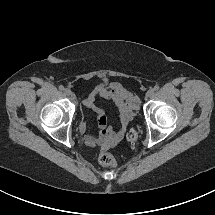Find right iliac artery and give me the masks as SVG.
Returning <instances> with one entry per match:
<instances>
[{"label": "right iliac artery", "instance_id": "82829eb1", "mask_svg": "<svg viewBox=\"0 0 215 215\" xmlns=\"http://www.w3.org/2000/svg\"><path fill=\"white\" fill-rule=\"evenodd\" d=\"M59 90H61V91L64 90V86L60 85Z\"/></svg>", "mask_w": 215, "mask_h": 215}]
</instances>
